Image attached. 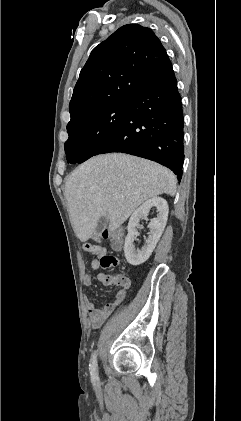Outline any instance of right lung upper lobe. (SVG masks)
Wrapping results in <instances>:
<instances>
[{
  "instance_id": "obj_1",
  "label": "right lung upper lobe",
  "mask_w": 241,
  "mask_h": 421,
  "mask_svg": "<svg viewBox=\"0 0 241 421\" xmlns=\"http://www.w3.org/2000/svg\"><path fill=\"white\" fill-rule=\"evenodd\" d=\"M147 27L128 24L96 46L80 72L69 104L71 120L129 98L168 60Z\"/></svg>"
}]
</instances>
